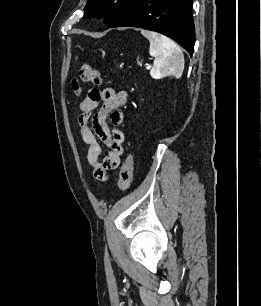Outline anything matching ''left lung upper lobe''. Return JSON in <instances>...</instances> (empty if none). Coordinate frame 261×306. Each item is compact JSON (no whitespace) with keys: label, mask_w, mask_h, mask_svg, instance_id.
<instances>
[{"label":"left lung upper lobe","mask_w":261,"mask_h":306,"mask_svg":"<svg viewBox=\"0 0 261 306\" xmlns=\"http://www.w3.org/2000/svg\"><path fill=\"white\" fill-rule=\"evenodd\" d=\"M133 0H89L83 18L104 17V23L114 25L128 10Z\"/></svg>","instance_id":"obj_1"}]
</instances>
